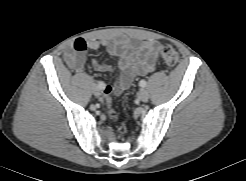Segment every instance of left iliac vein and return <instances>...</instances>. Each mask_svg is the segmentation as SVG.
<instances>
[{
  "label": "left iliac vein",
  "instance_id": "left-iliac-vein-1",
  "mask_svg": "<svg viewBox=\"0 0 246 181\" xmlns=\"http://www.w3.org/2000/svg\"><path fill=\"white\" fill-rule=\"evenodd\" d=\"M138 97H139V99H140L141 101L147 102L148 99H149V93H148L147 90L142 89V90H140Z\"/></svg>",
  "mask_w": 246,
  "mask_h": 181
}]
</instances>
